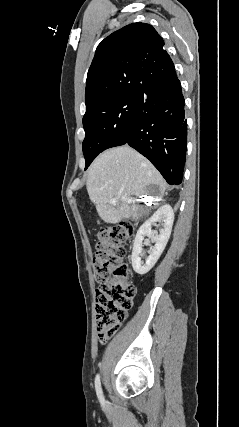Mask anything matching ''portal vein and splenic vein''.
Listing matches in <instances>:
<instances>
[{
  "mask_svg": "<svg viewBox=\"0 0 239 427\" xmlns=\"http://www.w3.org/2000/svg\"><path fill=\"white\" fill-rule=\"evenodd\" d=\"M133 201H134V199H132V198H131V199H129V201H128V202H129V203H131V202H133ZM110 203H111V204H114V205H115V204H117V199H115V198L110 199Z\"/></svg>",
  "mask_w": 239,
  "mask_h": 427,
  "instance_id": "portal-vein-and-splenic-vein-1",
  "label": "portal vein and splenic vein"
}]
</instances>
